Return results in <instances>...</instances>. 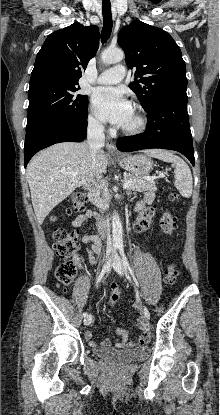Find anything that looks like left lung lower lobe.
Returning <instances> with one entry per match:
<instances>
[{
	"label": "left lung lower lobe",
	"instance_id": "obj_1",
	"mask_svg": "<svg viewBox=\"0 0 220 415\" xmlns=\"http://www.w3.org/2000/svg\"><path fill=\"white\" fill-rule=\"evenodd\" d=\"M187 100L186 91L160 95L151 106L144 109L147 112L145 132L120 138L117 149L125 152L150 148L175 150L185 155L194 166Z\"/></svg>",
	"mask_w": 220,
	"mask_h": 415
}]
</instances>
